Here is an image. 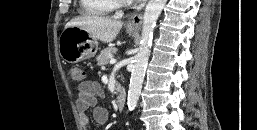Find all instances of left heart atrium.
Instances as JSON below:
<instances>
[{
  "mask_svg": "<svg viewBox=\"0 0 257 130\" xmlns=\"http://www.w3.org/2000/svg\"><path fill=\"white\" fill-rule=\"evenodd\" d=\"M133 1L140 2V1H143V0H133Z\"/></svg>",
  "mask_w": 257,
  "mask_h": 130,
  "instance_id": "39dd6f15",
  "label": "left heart atrium"
}]
</instances>
